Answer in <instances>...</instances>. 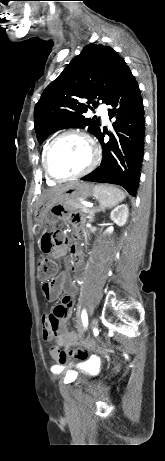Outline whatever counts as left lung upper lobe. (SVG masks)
<instances>
[{
    "label": "left lung upper lobe",
    "instance_id": "1",
    "mask_svg": "<svg viewBox=\"0 0 165 461\" xmlns=\"http://www.w3.org/2000/svg\"><path fill=\"white\" fill-rule=\"evenodd\" d=\"M129 67L111 47L90 44L72 59L63 72L43 91L35 106L34 125L39 142L55 130L88 127L96 137L101 132L98 120L83 115L99 103H106ZM88 100L85 102V100Z\"/></svg>",
    "mask_w": 165,
    "mask_h": 461
}]
</instances>
